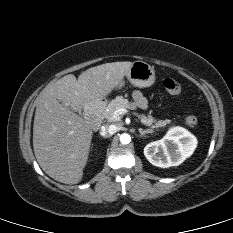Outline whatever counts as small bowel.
<instances>
[{
  "mask_svg": "<svg viewBox=\"0 0 233 233\" xmlns=\"http://www.w3.org/2000/svg\"><path fill=\"white\" fill-rule=\"evenodd\" d=\"M133 100L135 104L140 107V108H145L146 107V100L142 93L140 91L135 90L132 93Z\"/></svg>",
  "mask_w": 233,
  "mask_h": 233,
  "instance_id": "c3829d8e",
  "label": "small bowel"
}]
</instances>
